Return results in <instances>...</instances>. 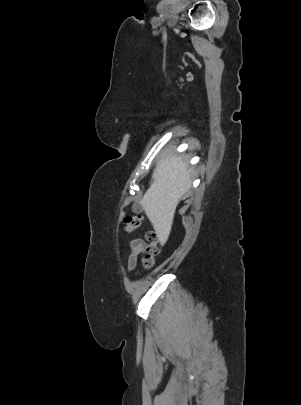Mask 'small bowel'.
I'll use <instances>...</instances> for the list:
<instances>
[{
    "label": "small bowel",
    "instance_id": "small-bowel-1",
    "mask_svg": "<svg viewBox=\"0 0 301 405\" xmlns=\"http://www.w3.org/2000/svg\"><path fill=\"white\" fill-rule=\"evenodd\" d=\"M146 244L141 239H134L130 242L131 254L127 260L128 270H133L137 264L138 257L145 251Z\"/></svg>",
    "mask_w": 301,
    "mask_h": 405
}]
</instances>
